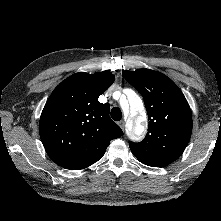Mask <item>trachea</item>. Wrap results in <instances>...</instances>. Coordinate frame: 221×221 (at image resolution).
<instances>
[{"label": "trachea", "instance_id": "obj_1", "mask_svg": "<svg viewBox=\"0 0 221 221\" xmlns=\"http://www.w3.org/2000/svg\"><path fill=\"white\" fill-rule=\"evenodd\" d=\"M111 117L114 121H120L122 118V112L118 107H114L111 110Z\"/></svg>", "mask_w": 221, "mask_h": 221}]
</instances>
